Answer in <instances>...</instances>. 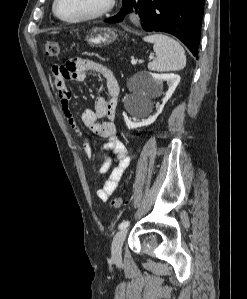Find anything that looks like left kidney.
<instances>
[{"instance_id": "obj_1", "label": "left kidney", "mask_w": 247, "mask_h": 299, "mask_svg": "<svg viewBox=\"0 0 247 299\" xmlns=\"http://www.w3.org/2000/svg\"><path fill=\"white\" fill-rule=\"evenodd\" d=\"M163 81L167 82L168 91L166 92L163 103L157 109V112L150 116L147 119H143L142 121L132 122L131 119L125 117V123L128 129H136L138 127L148 126L152 124L158 115L162 112L165 103L171 98L173 92L175 91L177 85L180 82V76L174 73H167V74H151L147 77L145 85H146V92L144 94L152 93L153 91L159 89L162 86ZM145 110V105L137 103L134 108L131 110V113L139 116Z\"/></svg>"}]
</instances>
